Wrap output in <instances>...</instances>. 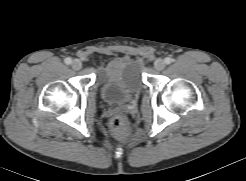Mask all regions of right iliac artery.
<instances>
[{
	"label": "right iliac artery",
	"mask_w": 246,
	"mask_h": 181,
	"mask_svg": "<svg viewBox=\"0 0 246 181\" xmlns=\"http://www.w3.org/2000/svg\"><path fill=\"white\" fill-rule=\"evenodd\" d=\"M64 62H65L67 65H69V64H71L72 59H71L70 57H67V58L64 60Z\"/></svg>",
	"instance_id": "1"
}]
</instances>
